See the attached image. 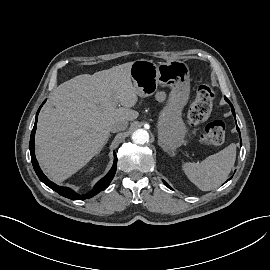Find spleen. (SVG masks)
<instances>
[{
  "label": "spleen",
  "instance_id": "1",
  "mask_svg": "<svg viewBox=\"0 0 270 270\" xmlns=\"http://www.w3.org/2000/svg\"><path fill=\"white\" fill-rule=\"evenodd\" d=\"M236 160V145L230 144L200 163L187 162L182 168L189 180L202 191L219 187L230 174Z\"/></svg>",
  "mask_w": 270,
  "mask_h": 270
}]
</instances>
